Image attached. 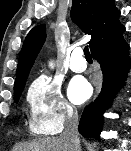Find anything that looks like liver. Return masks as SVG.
<instances>
[{"mask_svg": "<svg viewBox=\"0 0 131 151\" xmlns=\"http://www.w3.org/2000/svg\"><path fill=\"white\" fill-rule=\"evenodd\" d=\"M73 149L71 143L61 137H47L17 145L13 151H73Z\"/></svg>", "mask_w": 131, "mask_h": 151, "instance_id": "liver-1", "label": "liver"}]
</instances>
